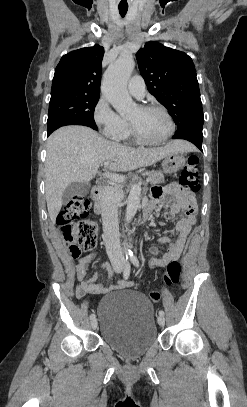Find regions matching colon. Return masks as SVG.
I'll return each mask as SVG.
<instances>
[{"instance_id": "1", "label": "colon", "mask_w": 247, "mask_h": 407, "mask_svg": "<svg viewBox=\"0 0 247 407\" xmlns=\"http://www.w3.org/2000/svg\"><path fill=\"white\" fill-rule=\"evenodd\" d=\"M199 174V159L196 155H190L179 179L182 188L197 193L200 190ZM90 208L91 202L88 198L75 196L56 219L64 239L69 243L73 257L79 256L81 250L92 251L97 245L99 228L95 221L87 218ZM180 277V264L177 261L168 263L162 274L163 283L167 286L176 285L180 282ZM149 297L153 303H157L160 300V293L151 291Z\"/></svg>"}]
</instances>
